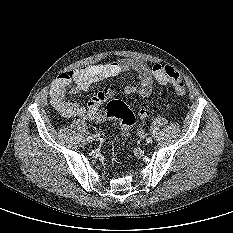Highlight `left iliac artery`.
I'll use <instances>...</instances> for the list:
<instances>
[{
	"label": "left iliac artery",
	"mask_w": 233,
	"mask_h": 233,
	"mask_svg": "<svg viewBox=\"0 0 233 233\" xmlns=\"http://www.w3.org/2000/svg\"><path fill=\"white\" fill-rule=\"evenodd\" d=\"M146 141H147V143H152L153 142L151 137H148Z\"/></svg>",
	"instance_id": "obj_1"
}]
</instances>
